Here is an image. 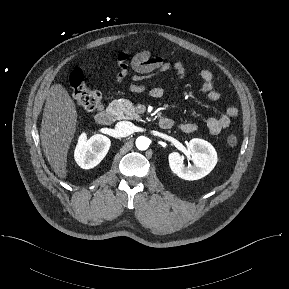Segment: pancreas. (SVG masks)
<instances>
[{
    "label": "pancreas",
    "mask_w": 289,
    "mask_h": 289,
    "mask_svg": "<svg viewBox=\"0 0 289 289\" xmlns=\"http://www.w3.org/2000/svg\"><path fill=\"white\" fill-rule=\"evenodd\" d=\"M108 110L118 120H122V119H128V120L136 119L137 120L140 118L136 108L127 99L113 100L109 104Z\"/></svg>",
    "instance_id": "pancreas-1"
}]
</instances>
